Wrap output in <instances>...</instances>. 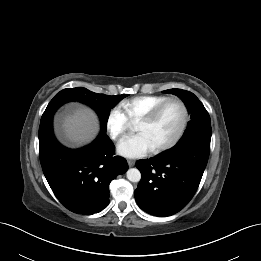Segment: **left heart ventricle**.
Returning <instances> with one entry per match:
<instances>
[{"instance_id": "obj_1", "label": "left heart ventricle", "mask_w": 261, "mask_h": 261, "mask_svg": "<svg viewBox=\"0 0 261 261\" xmlns=\"http://www.w3.org/2000/svg\"><path fill=\"white\" fill-rule=\"evenodd\" d=\"M182 120L181 109L171 104L151 124H136L135 131L142 133L152 148L169 141L178 131Z\"/></svg>"}]
</instances>
